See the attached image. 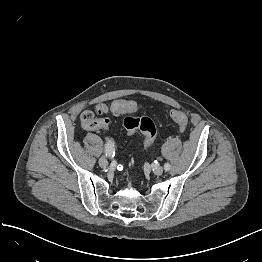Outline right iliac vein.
Here are the masks:
<instances>
[{
  "label": "right iliac vein",
  "mask_w": 262,
  "mask_h": 262,
  "mask_svg": "<svg viewBox=\"0 0 262 262\" xmlns=\"http://www.w3.org/2000/svg\"><path fill=\"white\" fill-rule=\"evenodd\" d=\"M99 165H100L101 167H107V166H108V161H107V159H106L105 157H101V158L99 159Z\"/></svg>",
  "instance_id": "63e3f726"
}]
</instances>
